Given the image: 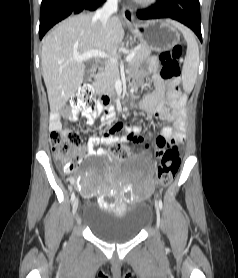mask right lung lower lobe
Masks as SVG:
<instances>
[{
  "label": "right lung lower lobe",
  "instance_id": "right-lung-lower-lobe-1",
  "mask_svg": "<svg viewBox=\"0 0 238 278\" xmlns=\"http://www.w3.org/2000/svg\"><path fill=\"white\" fill-rule=\"evenodd\" d=\"M105 0H42L40 11L39 37L56 23L71 14H78L83 10H95Z\"/></svg>",
  "mask_w": 238,
  "mask_h": 278
}]
</instances>
